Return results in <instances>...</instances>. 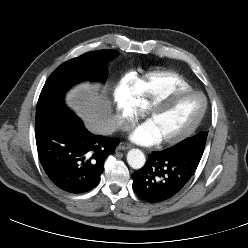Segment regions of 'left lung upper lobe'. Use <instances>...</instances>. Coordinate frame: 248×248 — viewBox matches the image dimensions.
<instances>
[{
	"mask_svg": "<svg viewBox=\"0 0 248 248\" xmlns=\"http://www.w3.org/2000/svg\"><path fill=\"white\" fill-rule=\"evenodd\" d=\"M208 132H200L198 135L187 138L180 143L176 144L175 146L171 147L170 149L176 151H184V150H193V151H204L206 139H207Z\"/></svg>",
	"mask_w": 248,
	"mask_h": 248,
	"instance_id": "obj_1",
	"label": "left lung upper lobe"
}]
</instances>
